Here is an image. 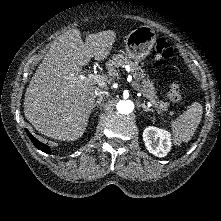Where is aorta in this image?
Listing matches in <instances>:
<instances>
[{"label": "aorta", "mask_w": 221, "mask_h": 221, "mask_svg": "<svg viewBox=\"0 0 221 221\" xmlns=\"http://www.w3.org/2000/svg\"><path fill=\"white\" fill-rule=\"evenodd\" d=\"M116 108L121 114H130L134 109V104L130 100H123L117 103Z\"/></svg>", "instance_id": "aorta-1"}]
</instances>
